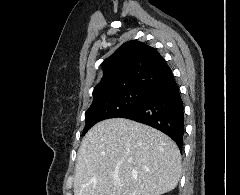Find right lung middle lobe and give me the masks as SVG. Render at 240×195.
<instances>
[{
	"label": "right lung middle lobe",
	"instance_id": "dd1d6c3e",
	"mask_svg": "<svg viewBox=\"0 0 240 195\" xmlns=\"http://www.w3.org/2000/svg\"><path fill=\"white\" fill-rule=\"evenodd\" d=\"M146 93L126 90L93 99V103L85 113L86 125L82 135L84 136L96 123L109 118H118L132 110L143 101Z\"/></svg>",
	"mask_w": 240,
	"mask_h": 195
}]
</instances>
